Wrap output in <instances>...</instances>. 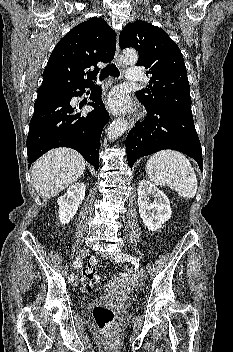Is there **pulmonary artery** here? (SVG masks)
Wrapping results in <instances>:
<instances>
[{
    "instance_id": "pulmonary-artery-1",
    "label": "pulmonary artery",
    "mask_w": 233,
    "mask_h": 352,
    "mask_svg": "<svg viewBox=\"0 0 233 352\" xmlns=\"http://www.w3.org/2000/svg\"><path fill=\"white\" fill-rule=\"evenodd\" d=\"M126 78L129 81L136 82L140 80V70L137 67H131L126 71Z\"/></svg>"
}]
</instances>
